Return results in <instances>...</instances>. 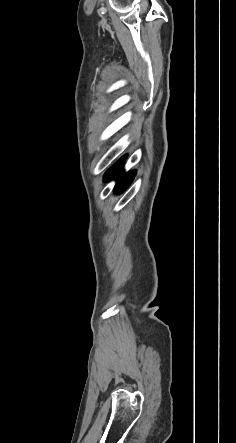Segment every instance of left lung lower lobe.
<instances>
[{"label":"left lung lower lobe","instance_id":"obj_1","mask_svg":"<svg viewBox=\"0 0 236 443\" xmlns=\"http://www.w3.org/2000/svg\"><path fill=\"white\" fill-rule=\"evenodd\" d=\"M127 158V155H124L119 159L111 168H109L105 175L104 181H110L112 179H116L115 192L122 193L126 188L131 184L135 171H131L129 173H125L122 169V164Z\"/></svg>","mask_w":236,"mask_h":443}]
</instances>
